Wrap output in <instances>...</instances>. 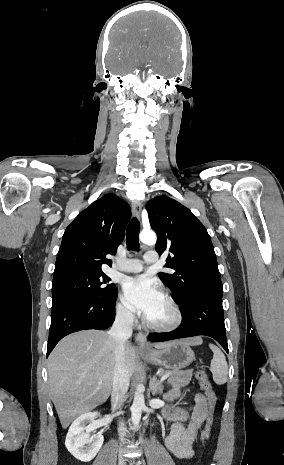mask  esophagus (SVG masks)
<instances>
[{"instance_id":"obj_1","label":"esophagus","mask_w":284,"mask_h":465,"mask_svg":"<svg viewBox=\"0 0 284 465\" xmlns=\"http://www.w3.org/2000/svg\"><path fill=\"white\" fill-rule=\"evenodd\" d=\"M142 204L139 201H134L132 203V212L133 215L139 219L141 215ZM136 343L140 349H145L148 346L147 336L144 332H138L136 335Z\"/></svg>"}]
</instances>
